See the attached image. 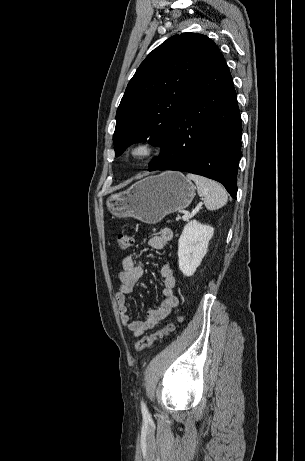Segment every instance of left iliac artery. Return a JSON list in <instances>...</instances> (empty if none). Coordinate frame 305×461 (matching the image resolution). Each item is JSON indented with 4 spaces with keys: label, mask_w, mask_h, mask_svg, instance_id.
<instances>
[{
    "label": "left iliac artery",
    "mask_w": 305,
    "mask_h": 461,
    "mask_svg": "<svg viewBox=\"0 0 305 461\" xmlns=\"http://www.w3.org/2000/svg\"><path fill=\"white\" fill-rule=\"evenodd\" d=\"M141 411H142L143 416L149 415L146 404L143 401L141 402Z\"/></svg>",
    "instance_id": "obj_1"
}]
</instances>
